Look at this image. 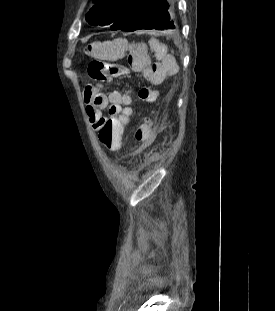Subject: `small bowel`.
<instances>
[{
	"instance_id": "1",
	"label": "small bowel",
	"mask_w": 275,
	"mask_h": 311,
	"mask_svg": "<svg viewBox=\"0 0 275 311\" xmlns=\"http://www.w3.org/2000/svg\"><path fill=\"white\" fill-rule=\"evenodd\" d=\"M130 42L116 39L103 43L102 51L106 57H125L129 53L128 66L136 72H143V79L150 80L151 87H164V80H174L179 74L177 56L168 55V46H163L156 38L149 40L153 50L142 51ZM150 57V60L148 58ZM154 62V64H151ZM102 83H89L84 90V101L87 105V114L94 130H98L103 119L128 118L131 116V91H112L109 94L101 92ZM108 109V112H103ZM154 114L153 110L149 111ZM123 133V130H120ZM131 133L134 143H153L157 138L158 127L155 119L146 116L143 122H137Z\"/></svg>"
}]
</instances>
